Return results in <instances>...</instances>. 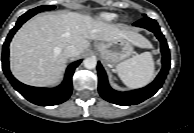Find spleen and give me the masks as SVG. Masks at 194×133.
I'll return each instance as SVG.
<instances>
[{
  "label": "spleen",
  "mask_w": 194,
  "mask_h": 133,
  "mask_svg": "<svg viewBox=\"0 0 194 133\" xmlns=\"http://www.w3.org/2000/svg\"><path fill=\"white\" fill-rule=\"evenodd\" d=\"M154 70V61L150 52L134 55L116 66L120 79L132 89L147 85L154 77Z\"/></svg>",
  "instance_id": "spleen-1"
}]
</instances>
